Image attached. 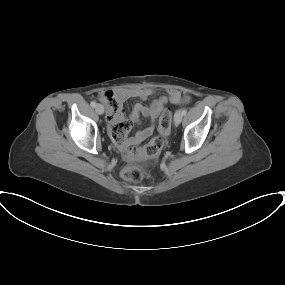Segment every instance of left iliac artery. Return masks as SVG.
I'll return each instance as SVG.
<instances>
[{
  "label": "left iliac artery",
  "mask_w": 285,
  "mask_h": 285,
  "mask_svg": "<svg viewBox=\"0 0 285 285\" xmlns=\"http://www.w3.org/2000/svg\"><path fill=\"white\" fill-rule=\"evenodd\" d=\"M186 113H187V110H186V109H183V110H182V114H183V115H186Z\"/></svg>",
  "instance_id": "left-iliac-artery-1"
}]
</instances>
